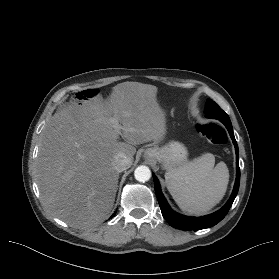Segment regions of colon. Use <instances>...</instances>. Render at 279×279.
Instances as JSON below:
<instances>
[{"instance_id":"obj_1","label":"colon","mask_w":279,"mask_h":279,"mask_svg":"<svg viewBox=\"0 0 279 279\" xmlns=\"http://www.w3.org/2000/svg\"><path fill=\"white\" fill-rule=\"evenodd\" d=\"M93 95V91H85L83 93V98H91ZM197 132L212 145L223 146L228 141V135L225 129L215 123L199 124L197 125Z\"/></svg>"}]
</instances>
